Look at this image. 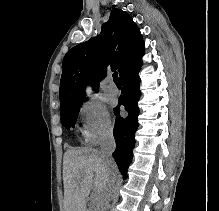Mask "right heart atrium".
<instances>
[{
    "mask_svg": "<svg viewBox=\"0 0 219 211\" xmlns=\"http://www.w3.org/2000/svg\"><path fill=\"white\" fill-rule=\"evenodd\" d=\"M79 113L84 121L82 132L87 144L96 145L111 136L110 114L101 102L90 99L80 107Z\"/></svg>",
    "mask_w": 219,
    "mask_h": 211,
    "instance_id": "1",
    "label": "right heart atrium"
}]
</instances>
